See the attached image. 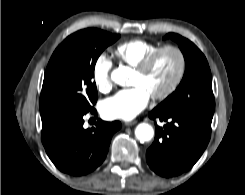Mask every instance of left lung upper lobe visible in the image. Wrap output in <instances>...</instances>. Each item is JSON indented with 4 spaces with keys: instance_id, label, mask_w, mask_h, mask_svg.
Listing matches in <instances>:
<instances>
[{
    "instance_id": "obj_1",
    "label": "left lung upper lobe",
    "mask_w": 245,
    "mask_h": 195,
    "mask_svg": "<svg viewBox=\"0 0 245 195\" xmlns=\"http://www.w3.org/2000/svg\"><path fill=\"white\" fill-rule=\"evenodd\" d=\"M167 38L178 43L185 58V73L177 89L156 108L214 113L211 71L204 54L178 34L168 33Z\"/></svg>"
}]
</instances>
